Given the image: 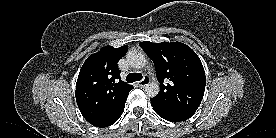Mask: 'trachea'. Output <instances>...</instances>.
<instances>
[{"instance_id":"1","label":"trachea","mask_w":276,"mask_h":138,"mask_svg":"<svg viewBox=\"0 0 276 138\" xmlns=\"http://www.w3.org/2000/svg\"><path fill=\"white\" fill-rule=\"evenodd\" d=\"M142 74L141 73H129L128 75H127V78H126V80H127V82L128 83H133V82H135V81H140V80H142Z\"/></svg>"}]
</instances>
